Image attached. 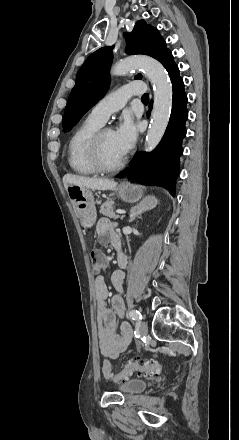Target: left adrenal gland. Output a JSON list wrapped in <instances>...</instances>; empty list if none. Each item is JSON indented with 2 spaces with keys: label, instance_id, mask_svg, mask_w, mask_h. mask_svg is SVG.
I'll return each mask as SVG.
<instances>
[{
  "label": "left adrenal gland",
  "instance_id": "left-adrenal-gland-1",
  "mask_svg": "<svg viewBox=\"0 0 239 440\" xmlns=\"http://www.w3.org/2000/svg\"><path fill=\"white\" fill-rule=\"evenodd\" d=\"M146 210H149V206H146L145 202H141L137 208H131L130 210V220L129 222H132V220H135L137 216H141V214H144Z\"/></svg>",
  "mask_w": 239,
  "mask_h": 440
}]
</instances>
